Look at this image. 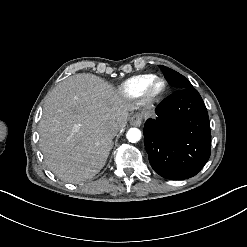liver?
I'll return each mask as SVG.
<instances>
[{
  "instance_id": "obj_1",
  "label": "liver",
  "mask_w": 247,
  "mask_h": 247,
  "mask_svg": "<svg viewBox=\"0 0 247 247\" xmlns=\"http://www.w3.org/2000/svg\"><path fill=\"white\" fill-rule=\"evenodd\" d=\"M139 106L112 83L91 73L61 81L49 94L39 121L45 164L60 179L79 183L95 176L113 147L109 128H126Z\"/></svg>"
}]
</instances>
